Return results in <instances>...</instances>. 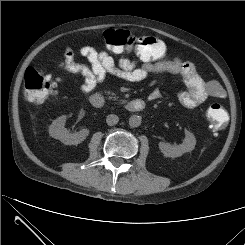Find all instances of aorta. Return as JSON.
Masks as SVG:
<instances>
[{
  "label": "aorta",
  "instance_id": "1",
  "mask_svg": "<svg viewBox=\"0 0 245 245\" xmlns=\"http://www.w3.org/2000/svg\"><path fill=\"white\" fill-rule=\"evenodd\" d=\"M129 125L131 127H138L141 125V117L138 116V115H132L130 118H129Z\"/></svg>",
  "mask_w": 245,
  "mask_h": 245
}]
</instances>
